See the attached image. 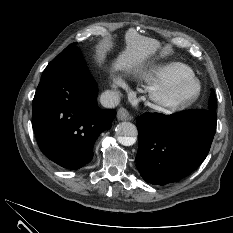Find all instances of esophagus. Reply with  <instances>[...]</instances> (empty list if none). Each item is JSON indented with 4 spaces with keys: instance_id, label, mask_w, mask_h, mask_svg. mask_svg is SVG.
I'll return each mask as SVG.
<instances>
[{
    "instance_id": "1",
    "label": "esophagus",
    "mask_w": 233,
    "mask_h": 233,
    "mask_svg": "<svg viewBox=\"0 0 233 233\" xmlns=\"http://www.w3.org/2000/svg\"><path fill=\"white\" fill-rule=\"evenodd\" d=\"M117 118L120 121H130V120H132V116L130 115L128 110L123 108V107L119 108V110L117 112Z\"/></svg>"
}]
</instances>
